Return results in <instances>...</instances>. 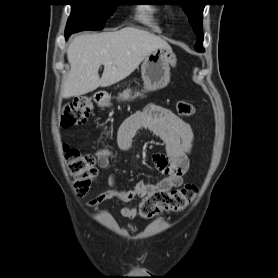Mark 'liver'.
<instances>
[{
  "label": "liver",
  "mask_w": 278,
  "mask_h": 278,
  "mask_svg": "<svg viewBox=\"0 0 278 278\" xmlns=\"http://www.w3.org/2000/svg\"><path fill=\"white\" fill-rule=\"evenodd\" d=\"M157 48L170 46L162 38L133 27L76 37L67 50L71 69L62 87L63 97L84 95L118 83ZM101 65L104 71L100 78Z\"/></svg>",
  "instance_id": "liver-1"
}]
</instances>
